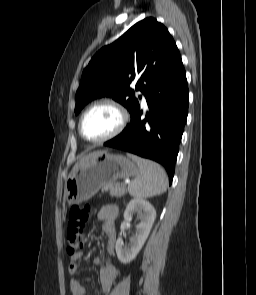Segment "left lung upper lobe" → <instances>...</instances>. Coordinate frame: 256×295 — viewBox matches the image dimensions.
I'll return each mask as SVG.
<instances>
[{
  "mask_svg": "<svg viewBox=\"0 0 256 295\" xmlns=\"http://www.w3.org/2000/svg\"><path fill=\"white\" fill-rule=\"evenodd\" d=\"M181 60L167 28L154 18L134 24L119 39L100 49L84 69L76 92L75 114L95 98L109 96L130 115L139 107L130 84L146 92ZM140 98V97H139Z\"/></svg>",
  "mask_w": 256,
  "mask_h": 295,
  "instance_id": "obj_1",
  "label": "left lung upper lobe"
}]
</instances>
